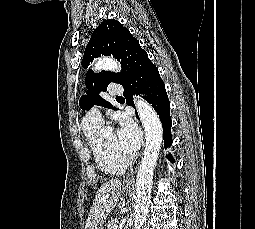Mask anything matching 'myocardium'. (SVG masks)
<instances>
[{"mask_svg": "<svg viewBox=\"0 0 255 229\" xmlns=\"http://www.w3.org/2000/svg\"><path fill=\"white\" fill-rule=\"evenodd\" d=\"M104 147H105V149L110 153V155H111L114 159H116L118 162L123 163V164H125L126 166L132 164V162H133V160H134V157H133V156L125 157V156H123V155H121V154H119V153L113 151L112 149H110V148L106 145V143H104Z\"/></svg>", "mask_w": 255, "mask_h": 229, "instance_id": "f54148a6", "label": "myocardium"}]
</instances>
